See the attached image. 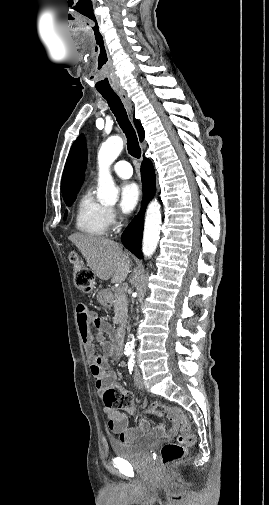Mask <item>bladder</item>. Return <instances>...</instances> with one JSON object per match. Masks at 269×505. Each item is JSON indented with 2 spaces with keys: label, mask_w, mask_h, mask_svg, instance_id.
I'll use <instances>...</instances> for the list:
<instances>
[{
  "label": "bladder",
  "mask_w": 269,
  "mask_h": 505,
  "mask_svg": "<svg viewBox=\"0 0 269 505\" xmlns=\"http://www.w3.org/2000/svg\"><path fill=\"white\" fill-rule=\"evenodd\" d=\"M157 444V438L145 435L131 443L113 441L112 450L114 455L125 459H141L152 447Z\"/></svg>",
  "instance_id": "31cf9c89"
}]
</instances>
